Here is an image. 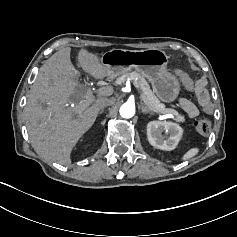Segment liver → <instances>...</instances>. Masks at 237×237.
Listing matches in <instances>:
<instances>
[{"mask_svg":"<svg viewBox=\"0 0 237 237\" xmlns=\"http://www.w3.org/2000/svg\"><path fill=\"white\" fill-rule=\"evenodd\" d=\"M71 48L53 54L41 67L40 74L31 86L24 109L26 127L36 153L50 162L70 165V154L79 138L93 125L104 97L113 94L112 87L99 90L98 99L92 102L91 94L73 99L78 87L79 72L70 60ZM78 62L82 69L95 79L107 76L98 57L81 49ZM75 103V107L67 104Z\"/></svg>","mask_w":237,"mask_h":237,"instance_id":"6515ba94","label":"liver"}]
</instances>
